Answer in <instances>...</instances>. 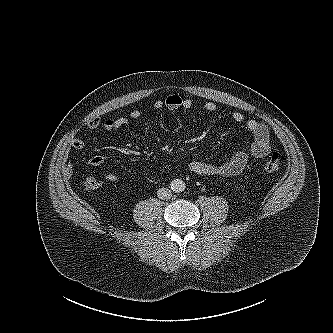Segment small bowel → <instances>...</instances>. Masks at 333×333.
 Wrapping results in <instances>:
<instances>
[{
  "label": "small bowel",
  "mask_w": 333,
  "mask_h": 333,
  "mask_svg": "<svg viewBox=\"0 0 333 333\" xmlns=\"http://www.w3.org/2000/svg\"><path fill=\"white\" fill-rule=\"evenodd\" d=\"M153 106L158 110L166 108L169 111L174 112L191 109L193 107V102L191 99L173 94L169 95L164 100H156ZM204 109L207 112L213 113L217 111V105L214 102H207L204 104ZM140 117L141 111L137 109L131 111L126 117L101 118L96 116L87 122V127L92 131L97 129L115 131ZM231 118L236 123L243 124L247 131L252 135L253 141L251 144L244 149L238 150L228 160L221 163H209L195 158L189 163V169L193 173L201 176H235L244 170L251 157L264 158L270 153V135L268 127L264 122L255 119H246L244 114L240 111H233ZM70 146L73 149L80 150L84 148L85 142L80 138H73L70 142ZM89 163L92 166H101L104 163V159L100 156H93L89 160ZM64 172L67 175H70L73 172V166L71 164H66L64 166ZM105 178L108 181H115L117 175L114 173H108Z\"/></svg>",
  "instance_id": "small-bowel-1"
}]
</instances>
